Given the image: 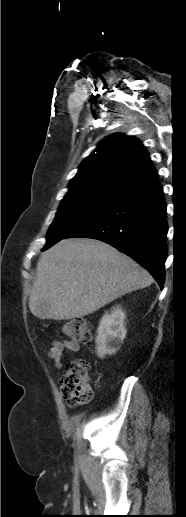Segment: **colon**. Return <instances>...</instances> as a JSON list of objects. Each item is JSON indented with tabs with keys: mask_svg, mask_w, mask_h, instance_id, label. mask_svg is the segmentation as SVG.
<instances>
[{
	"mask_svg": "<svg viewBox=\"0 0 186 517\" xmlns=\"http://www.w3.org/2000/svg\"><path fill=\"white\" fill-rule=\"evenodd\" d=\"M61 332L74 342H90L91 324L84 318H76L64 323ZM89 364L84 359L69 362L60 380V392L69 406L88 404L93 398V388L88 376Z\"/></svg>",
	"mask_w": 186,
	"mask_h": 517,
	"instance_id": "5ec220e1",
	"label": "colon"
}]
</instances>
